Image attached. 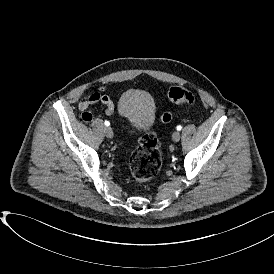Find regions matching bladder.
<instances>
[{"label": "bladder", "instance_id": "1", "mask_svg": "<svg viewBox=\"0 0 274 274\" xmlns=\"http://www.w3.org/2000/svg\"><path fill=\"white\" fill-rule=\"evenodd\" d=\"M118 114L133 130L145 131L154 121L153 99L143 90H129L121 96L118 102Z\"/></svg>", "mask_w": 274, "mask_h": 274}]
</instances>
